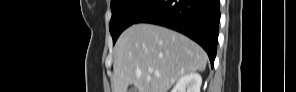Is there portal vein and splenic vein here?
<instances>
[{
	"mask_svg": "<svg viewBox=\"0 0 296 92\" xmlns=\"http://www.w3.org/2000/svg\"><path fill=\"white\" fill-rule=\"evenodd\" d=\"M148 71H149L150 73H152V72H153V69H148ZM155 74H156V75H159L158 72H155Z\"/></svg>",
	"mask_w": 296,
	"mask_h": 92,
	"instance_id": "portal-vein-and-splenic-vein-1",
	"label": "portal vein and splenic vein"
}]
</instances>
